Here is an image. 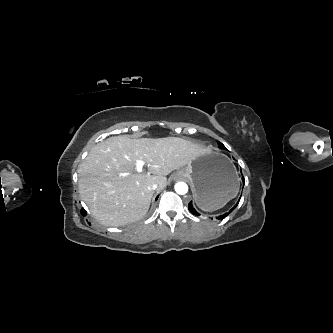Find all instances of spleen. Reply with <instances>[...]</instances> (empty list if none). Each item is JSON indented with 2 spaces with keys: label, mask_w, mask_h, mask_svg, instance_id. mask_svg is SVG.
Masks as SVG:
<instances>
[{
  "label": "spleen",
  "mask_w": 333,
  "mask_h": 333,
  "mask_svg": "<svg viewBox=\"0 0 333 333\" xmlns=\"http://www.w3.org/2000/svg\"><path fill=\"white\" fill-rule=\"evenodd\" d=\"M238 191H239V185H238V187H237V191H236L234 197L237 195ZM223 206H224V205H223ZM223 206H219V207H217V208H213V209H206L205 211H215V210H218V209L222 208Z\"/></svg>",
  "instance_id": "obj_1"
}]
</instances>
